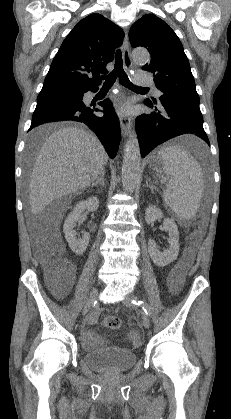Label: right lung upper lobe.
<instances>
[{
	"mask_svg": "<svg viewBox=\"0 0 231 419\" xmlns=\"http://www.w3.org/2000/svg\"><path fill=\"white\" fill-rule=\"evenodd\" d=\"M124 38L122 29L100 14L82 19L63 41L52 61L43 87L61 85L75 89L100 85L99 74Z\"/></svg>",
	"mask_w": 231,
	"mask_h": 419,
	"instance_id": "cb5924a9",
	"label": "right lung upper lobe"
}]
</instances>
